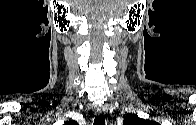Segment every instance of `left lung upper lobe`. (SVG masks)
Returning a JSON list of instances; mask_svg holds the SVG:
<instances>
[{"label": "left lung upper lobe", "instance_id": "5c2ea615", "mask_svg": "<svg viewBox=\"0 0 196 125\" xmlns=\"http://www.w3.org/2000/svg\"><path fill=\"white\" fill-rule=\"evenodd\" d=\"M151 121L141 119L135 114L128 115L124 118V125H148Z\"/></svg>", "mask_w": 196, "mask_h": 125}]
</instances>
